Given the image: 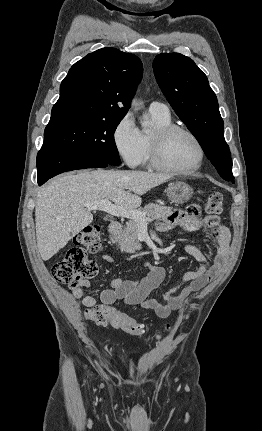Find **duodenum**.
Wrapping results in <instances>:
<instances>
[{"instance_id":"obj_1","label":"duodenum","mask_w":262,"mask_h":431,"mask_svg":"<svg viewBox=\"0 0 262 431\" xmlns=\"http://www.w3.org/2000/svg\"><path fill=\"white\" fill-rule=\"evenodd\" d=\"M121 229H122V225L120 222H117V221L110 222L107 226V231L113 235L118 234L121 231Z\"/></svg>"}]
</instances>
